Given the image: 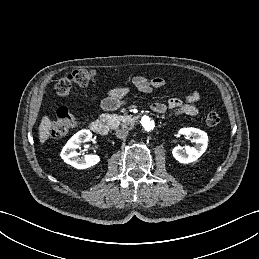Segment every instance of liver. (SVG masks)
Returning a JSON list of instances; mask_svg holds the SVG:
<instances>
[{
	"label": "liver",
	"instance_id": "liver-1",
	"mask_svg": "<svg viewBox=\"0 0 259 259\" xmlns=\"http://www.w3.org/2000/svg\"><path fill=\"white\" fill-rule=\"evenodd\" d=\"M52 121L48 116H43L39 125V141L44 144L51 134Z\"/></svg>",
	"mask_w": 259,
	"mask_h": 259
}]
</instances>
